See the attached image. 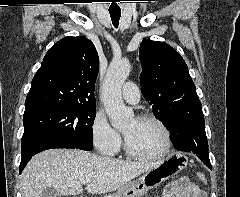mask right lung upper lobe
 <instances>
[{
    "mask_svg": "<svg viewBox=\"0 0 240 197\" xmlns=\"http://www.w3.org/2000/svg\"><path fill=\"white\" fill-rule=\"evenodd\" d=\"M99 57L86 37H65L43 58L25 101V111L44 106H96Z\"/></svg>",
    "mask_w": 240,
    "mask_h": 197,
    "instance_id": "cb5924a9",
    "label": "right lung upper lobe"
}]
</instances>
